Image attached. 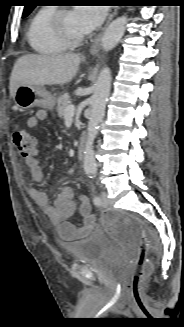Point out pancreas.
I'll list each match as a JSON object with an SVG mask.
<instances>
[{
    "mask_svg": "<svg viewBox=\"0 0 184 327\" xmlns=\"http://www.w3.org/2000/svg\"><path fill=\"white\" fill-rule=\"evenodd\" d=\"M68 105H71V101L69 100V96L67 95H61L57 99V113L60 118H63L65 116V109Z\"/></svg>",
    "mask_w": 184,
    "mask_h": 327,
    "instance_id": "pancreas-1",
    "label": "pancreas"
}]
</instances>
